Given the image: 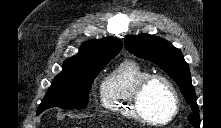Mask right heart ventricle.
<instances>
[{"mask_svg":"<svg viewBox=\"0 0 221 128\" xmlns=\"http://www.w3.org/2000/svg\"><path fill=\"white\" fill-rule=\"evenodd\" d=\"M150 71L134 59L116 65L101 84L104 109L125 118L139 119L132 108L131 97L137 83Z\"/></svg>","mask_w":221,"mask_h":128,"instance_id":"1","label":"right heart ventricle"}]
</instances>
